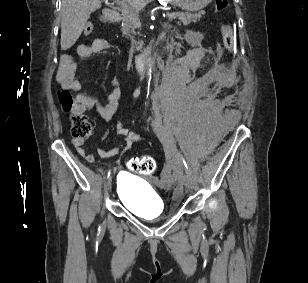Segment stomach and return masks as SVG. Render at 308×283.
<instances>
[{
	"instance_id": "0dacf381",
	"label": "stomach",
	"mask_w": 308,
	"mask_h": 283,
	"mask_svg": "<svg viewBox=\"0 0 308 283\" xmlns=\"http://www.w3.org/2000/svg\"><path fill=\"white\" fill-rule=\"evenodd\" d=\"M175 6L189 12L198 11L206 7L212 0H166Z\"/></svg>"
}]
</instances>
